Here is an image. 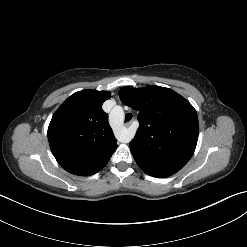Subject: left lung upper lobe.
Here are the masks:
<instances>
[{"instance_id":"obj_1","label":"left lung upper lobe","mask_w":247,"mask_h":247,"mask_svg":"<svg viewBox=\"0 0 247 247\" xmlns=\"http://www.w3.org/2000/svg\"><path fill=\"white\" fill-rule=\"evenodd\" d=\"M119 97L139 111L140 126L130 143L136 162L162 175L179 171L197 145L198 117L194 107L175 91L160 86H125Z\"/></svg>"}]
</instances>
